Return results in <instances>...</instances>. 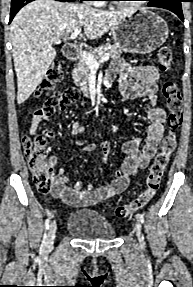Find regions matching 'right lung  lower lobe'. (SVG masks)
I'll list each match as a JSON object with an SVG mask.
<instances>
[{"label":"right lung lower lobe","instance_id":"obj_1","mask_svg":"<svg viewBox=\"0 0 193 287\" xmlns=\"http://www.w3.org/2000/svg\"><path fill=\"white\" fill-rule=\"evenodd\" d=\"M33 0H12L11 2V12H10V21L9 23L12 21V19L14 18V16L16 15V13L26 4L32 2ZM58 1H62V2H72L75 0H58ZM83 1V0H81Z\"/></svg>","mask_w":193,"mask_h":287}]
</instances>
